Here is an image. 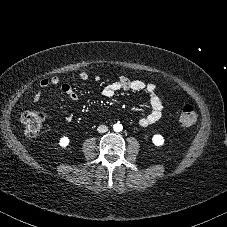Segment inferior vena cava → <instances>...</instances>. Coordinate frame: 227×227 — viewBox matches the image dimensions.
I'll return each mask as SVG.
<instances>
[{
	"instance_id": "inferior-vena-cava-1",
	"label": "inferior vena cava",
	"mask_w": 227,
	"mask_h": 227,
	"mask_svg": "<svg viewBox=\"0 0 227 227\" xmlns=\"http://www.w3.org/2000/svg\"><path fill=\"white\" fill-rule=\"evenodd\" d=\"M97 131L99 133H105L108 131V127L106 125H100V126H98Z\"/></svg>"
}]
</instances>
